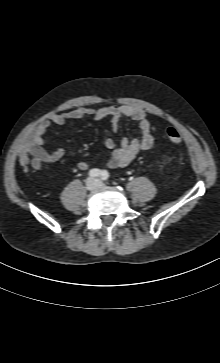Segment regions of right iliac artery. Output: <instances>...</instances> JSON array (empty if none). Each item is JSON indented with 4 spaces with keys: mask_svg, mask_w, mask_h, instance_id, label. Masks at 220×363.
I'll return each mask as SVG.
<instances>
[{
    "mask_svg": "<svg viewBox=\"0 0 220 363\" xmlns=\"http://www.w3.org/2000/svg\"><path fill=\"white\" fill-rule=\"evenodd\" d=\"M101 175V171L99 169H92L89 171V176L98 177Z\"/></svg>",
    "mask_w": 220,
    "mask_h": 363,
    "instance_id": "1",
    "label": "right iliac artery"
}]
</instances>
